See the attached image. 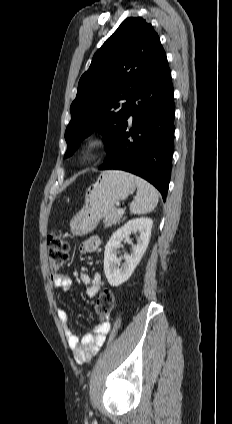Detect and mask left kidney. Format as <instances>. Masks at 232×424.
Here are the masks:
<instances>
[{"label": "left kidney", "instance_id": "left-kidney-1", "mask_svg": "<svg viewBox=\"0 0 232 424\" xmlns=\"http://www.w3.org/2000/svg\"><path fill=\"white\" fill-rule=\"evenodd\" d=\"M152 226V219L140 217L129 220L112 234L104 252V272L111 286L117 287L131 277L148 247ZM137 232H139L137 244L133 245L130 255H124L125 263L119 267L121 259L117 258V249L121 241L129 237L131 233Z\"/></svg>", "mask_w": 232, "mask_h": 424}]
</instances>
